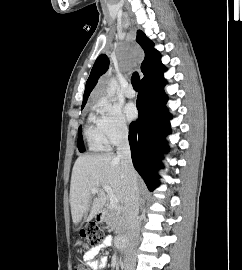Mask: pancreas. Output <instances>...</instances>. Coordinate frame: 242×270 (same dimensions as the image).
I'll return each mask as SVG.
<instances>
[{"instance_id":"1","label":"pancreas","mask_w":242,"mask_h":270,"mask_svg":"<svg viewBox=\"0 0 242 270\" xmlns=\"http://www.w3.org/2000/svg\"><path fill=\"white\" fill-rule=\"evenodd\" d=\"M105 221L116 231V233H118V235H123L127 229L123 209L114 205H111L108 208Z\"/></svg>"}]
</instances>
